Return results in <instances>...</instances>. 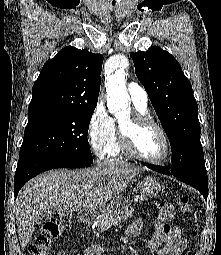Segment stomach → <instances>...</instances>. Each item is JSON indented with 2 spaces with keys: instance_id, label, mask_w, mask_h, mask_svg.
<instances>
[{
  "instance_id": "1",
  "label": "stomach",
  "mask_w": 221,
  "mask_h": 255,
  "mask_svg": "<svg viewBox=\"0 0 221 255\" xmlns=\"http://www.w3.org/2000/svg\"><path fill=\"white\" fill-rule=\"evenodd\" d=\"M139 189L142 198H154L163 190V185L155 177L148 176L139 182ZM125 206L124 197L118 196L99 211L98 218L103 219L108 214L120 215L125 210Z\"/></svg>"
}]
</instances>
